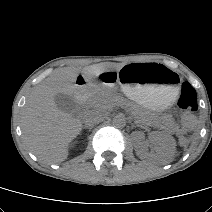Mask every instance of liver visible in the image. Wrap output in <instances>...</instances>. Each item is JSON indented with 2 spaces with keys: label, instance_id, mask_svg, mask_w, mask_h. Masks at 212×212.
Masks as SVG:
<instances>
[{
  "label": "liver",
  "instance_id": "1",
  "mask_svg": "<svg viewBox=\"0 0 212 212\" xmlns=\"http://www.w3.org/2000/svg\"><path fill=\"white\" fill-rule=\"evenodd\" d=\"M124 64H94L83 68L89 76L121 69ZM78 70L71 67L55 71L31 93L22 110L23 138L29 150L43 163L56 164L68 156L69 143L80 133L82 122L58 109V93H76Z\"/></svg>",
  "mask_w": 212,
  "mask_h": 212
}]
</instances>
